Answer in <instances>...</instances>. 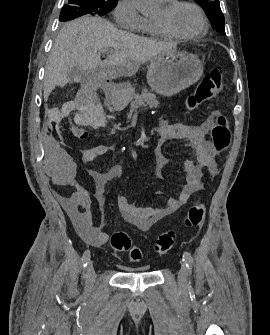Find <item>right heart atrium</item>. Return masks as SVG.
Segmentation results:
<instances>
[{
    "label": "right heart atrium",
    "mask_w": 270,
    "mask_h": 335,
    "mask_svg": "<svg viewBox=\"0 0 270 335\" xmlns=\"http://www.w3.org/2000/svg\"><path fill=\"white\" fill-rule=\"evenodd\" d=\"M116 24L126 30H140L143 17L140 15L135 0H119L113 12Z\"/></svg>",
    "instance_id": "obj_1"
}]
</instances>
